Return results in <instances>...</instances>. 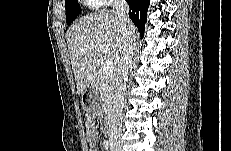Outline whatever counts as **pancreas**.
<instances>
[{"label": "pancreas", "mask_w": 231, "mask_h": 151, "mask_svg": "<svg viewBox=\"0 0 231 151\" xmlns=\"http://www.w3.org/2000/svg\"><path fill=\"white\" fill-rule=\"evenodd\" d=\"M94 85L100 92L104 106H108L113 98V74L99 70L95 76Z\"/></svg>", "instance_id": "pancreas-1"}]
</instances>
